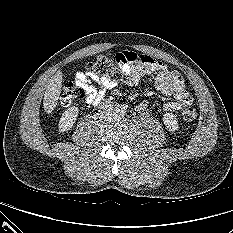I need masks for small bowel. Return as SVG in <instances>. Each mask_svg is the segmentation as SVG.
Returning a JSON list of instances; mask_svg holds the SVG:
<instances>
[{"mask_svg":"<svg viewBox=\"0 0 233 233\" xmlns=\"http://www.w3.org/2000/svg\"><path fill=\"white\" fill-rule=\"evenodd\" d=\"M116 56L127 63L130 78L126 82L129 85L137 84L144 75L156 73V89L174 98L173 101L163 104V110H180L192 104L193 99L185 88L182 76L177 71L169 69L164 62L149 55H139L129 51L121 52ZM75 85L84 92L87 104L97 106L104 99L106 92L117 86V81L86 70L75 74ZM145 107L146 104L141 103L138 109L142 110Z\"/></svg>","mask_w":233,"mask_h":233,"instance_id":"obj_1","label":"small bowel"}]
</instances>
